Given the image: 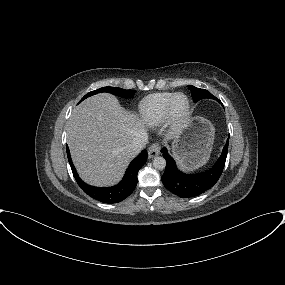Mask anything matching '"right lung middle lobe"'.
Wrapping results in <instances>:
<instances>
[{
  "label": "right lung middle lobe",
  "mask_w": 285,
  "mask_h": 285,
  "mask_svg": "<svg viewBox=\"0 0 285 285\" xmlns=\"http://www.w3.org/2000/svg\"><path fill=\"white\" fill-rule=\"evenodd\" d=\"M101 92H108V93H111V94H114V95H117V96H120L123 98H130L135 93L134 90H125V89H121V88H117V87H103V88H100V89H97L95 91H91V92L87 93L81 99V101L84 100L85 98L89 97V96H92L94 94L101 93Z\"/></svg>",
  "instance_id": "obj_1"
}]
</instances>
